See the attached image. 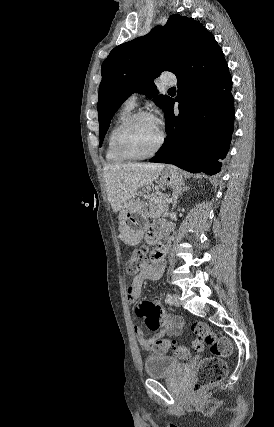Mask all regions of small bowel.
I'll return each instance as SVG.
<instances>
[{"label":"small bowel","mask_w":274,"mask_h":427,"mask_svg":"<svg viewBox=\"0 0 274 427\" xmlns=\"http://www.w3.org/2000/svg\"><path fill=\"white\" fill-rule=\"evenodd\" d=\"M171 224L160 221L153 224L148 232V241L154 242L160 238L164 232L172 231ZM166 267L164 260L152 261L148 267L141 272L129 284L127 289V302L134 305L140 300L142 285L146 280L158 279L162 276ZM157 295L156 291L152 292ZM165 312V305L161 299H142L140 311H134L133 318L136 320L135 333L139 346L144 351H150L155 343L165 336H179L182 334L184 318L181 316L170 317ZM162 313L163 317H162ZM138 327H151L152 331H159L156 335L147 338Z\"/></svg>","instance_id":"c3829d8e"}]
</instances>
